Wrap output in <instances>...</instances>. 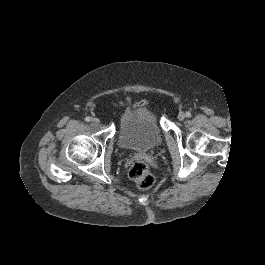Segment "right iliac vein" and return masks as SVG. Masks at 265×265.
Wrapping results in <instances>:
<instances>
[{"mask_svg": "<svg viewBox=\"0 0 265 265\" xmlns=\"http://www.w3.org/2000/svg\"><path fill=\"white\" fill-rule=\"evenodd\" d=\"M92 122L95 123V124H98V123H100V120L98 118H93Z\"/></svg>", "mask_w": 265, "mask_h": 265, "instance_id": "right-iliac-vein-1", "label": "right iliac vein"}]
</instances>
